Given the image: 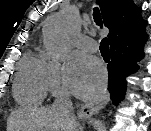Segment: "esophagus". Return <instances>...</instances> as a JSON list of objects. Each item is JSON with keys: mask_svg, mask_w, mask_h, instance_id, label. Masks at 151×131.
Returning <instances> with one entry per match:
<instances>
[{"mask_svg": "<svg viewBox=\"0 0 151 131\" xmlns=\"http://www.w3.org/2000/svg\"><path fill=\"white\" fill-rule=\"evenodd\" d=\"M109 101V93L104 92L100 96L83 105L78 111V117L86 119L102 109Z\"/></svg>", "mask_w": 151, "mask_h": 131, "instance_id": "34e87169", "label": "esophagus"}]
</instances>
